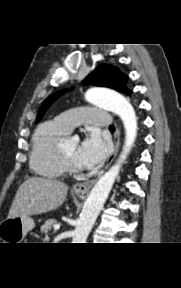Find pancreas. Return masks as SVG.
Returning a JSON list of instances; mask_svg holds the SVG:
<instances>
[{
	"label": "pancreas",
	"mask_w": 181,
	"mask_h": 288,
	"mask_svg": "<svg viewBox=\"0 0 181 288\" xmlns=\"http://www.w3.org/2000/svg\"><path fill=\"white\" fill-rule=\"evenodd\" d=\"M54 224H56L55 219H49L41 226L40 231L47 234L52 229Z\"/></svg>",
	"instance_id": "1"
}]
</instances>
